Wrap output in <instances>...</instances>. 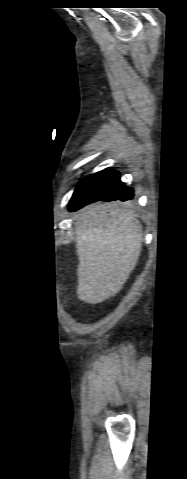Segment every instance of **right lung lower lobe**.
<instances>
[{"instance_id":"obj_1","label":"right lung lower lobe","mask_w":187,"mask_h":479,"mask_svg":"<svg viewBox=\"0 0 187 479\" xmlns=\"http://www.w3.org/2000/svg\"><path fill=\"white\" fill-rule=\"evenodd\" d=\"M133 195V190L120 181L117 171H101L86 177L79 183L69 202V210H78L98 200L126 201L132 199Z\"/></svg>"}]
</instances>
